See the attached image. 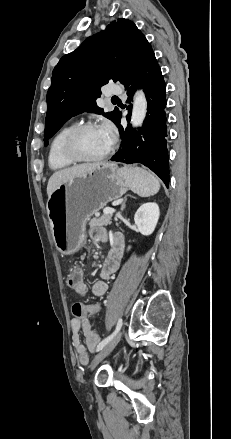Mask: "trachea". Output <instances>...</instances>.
<instances>
[{"label": "trachea", "instance_id": "obj_1", "mask_svg": "<svg viewBox=\"0 0 231 439\" xmlns=\"http://www.w3.org/2000/svg\"><path fill=\"white\" fill-rule=\"evenodd\" d=\"M117 99H118L117 96H113V97H112V100H117Z\"/></svg>", "mask_w": 231, "mask_h": 439}]
</instances>
